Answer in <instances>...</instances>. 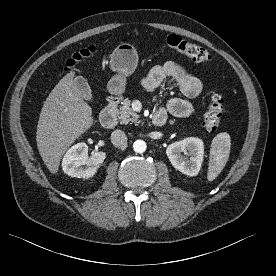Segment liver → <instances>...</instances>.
Wrapping results in <instances>:
<instances>
[{
  "mask_svg": "<svg viewBox=\"0 0 276 276\" xmlns=\"http://www.w3.org/2000/svg\"><path fill=\"white\" fill-rule=\"evenodd\" d=\"M74 72L54 87L41 109L36 141L44 164L56 174L60 161L74 141L93 124L92 109L74 83Z\"/></svg>",
  "mask_w": 276,
  "mask_h": 276,
  "instance_id": "obj_1",
  "label": "liver"
}]
</instances>
